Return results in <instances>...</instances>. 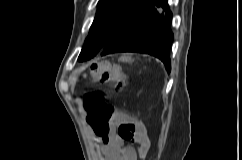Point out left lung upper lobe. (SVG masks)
Wrapping results in <instances>:
<instances>
[{"mask_svg":"<svg viewBox=\"0 0 242 160\" xmlns=\"http://www.w3.org/2000/svg\"><path fill=\"white\" fill-rule=\"evenodd\" d=\"M156 0H99L78 61L89 60Z\"/></svg>","mask_w":242,"mask_h":160,"instance_id":"5c2ea615","label":"left lung upper lobe"}]
</instances>
